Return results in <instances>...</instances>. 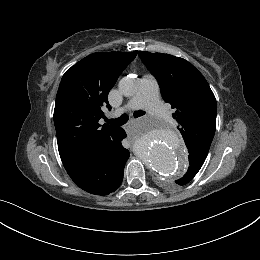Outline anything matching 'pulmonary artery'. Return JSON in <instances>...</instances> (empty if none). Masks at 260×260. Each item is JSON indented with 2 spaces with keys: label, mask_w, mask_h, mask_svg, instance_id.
<instances>
[{
  "label": "pulmonary artery",
  "mask_w": 260,
  "mask_h": 260,
  "mask_svg": "<svg viewBox=\"0 0 260 260\" xmlns=\"http://www.w3.org/2000/svg\"><path fill=\"white\" fill-rule=\"evenodd\" d=\"M145 108L150 114L165 123H171L173 118L159 100V85L154 76L146 74L141 79L139 92L118 113Z\"/></svg>",
  "instance_id": "pulmonary-artery-1"
}]
</instances>
